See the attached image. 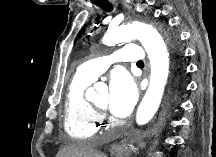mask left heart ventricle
<instances>
[{"instance_id": "left-heart-ventricle-1", "label": "left heart ventricle", "mask_w": 216, "mask_h": 157, "mask_svg": "<svg viewBox=\"0 0 216 157\" xmlns=\"http://www.w3.org/2000/svg\"><path fill=\"white\" fill-rule=\"evenodd\" d=\"M107 101H108V94L107 92H104L98 96V98L95 100V103H97L102 107H105L107 105Z\"/></svg>"}]
</instances>
